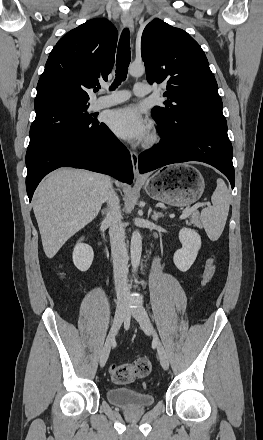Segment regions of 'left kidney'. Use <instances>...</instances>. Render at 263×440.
Masks as SVG:
<instances>
[{
    "label": "left kidney",
    "mask_w": 263,
    "mask_h": 440,
    "mask_svg": "<svg viewBox=\"0 0 263 440\" xmlns=\"http://www.w3.org/2000/svg\"><path fill=\"white\" fill-rule=\"evenodd\" d=\"M179 240L182 248L174 253L173 261L180 271L186 272L196 260L201 248V237L193 229L182 228L179 232Z\"/></svg>",
    "instance_id": "5707ae66"
}]
</instances>
